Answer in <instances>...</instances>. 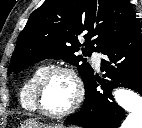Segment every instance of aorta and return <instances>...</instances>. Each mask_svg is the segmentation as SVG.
I'll list each match as a JSON object with an SVG mask.
<instances>
[{"instance_id":"aorta-1","label":"aorta","mask_w":142,"mask_h":128,"mask_svg":"<svg viewBox=\"0 0 142 128\" xmlns=\"http://www.w3.org/2000/svg\"><path fill=\"white\" fill-rule=\"evenodd\" d=\"M114 99L129 113L121 128H142V97L128 89H116Z\"/></svg>"}]
</instances>
